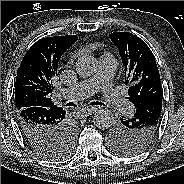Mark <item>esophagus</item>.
<instances>
[{
	"instance_id": "34e87169",
	"label": "esophagus",
	"mask_w": 184,
	"mask_h": 184,
	"mask_svg": "<svg viewBox=\"0 0 184 184\" xmlns=\"http://www.w3.org/2000/svg\"><path fill=\"white\" fill-rule=\"evenodd\" d=\"M98 108L96 107H91V108H85V109H81L80 110V113L84 116H88V115H91L93 114L94 112L97 111Z\"/></svg>"
}]
</instances>
